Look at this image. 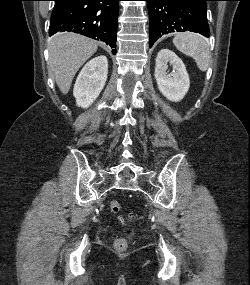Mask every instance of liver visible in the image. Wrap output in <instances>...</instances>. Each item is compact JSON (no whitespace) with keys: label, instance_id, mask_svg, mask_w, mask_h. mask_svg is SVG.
Instances as JSON below:
<instances>
[{"label":"liver","instance_id":"6515ba94","mask_svg":"<svg viewBox=\"0 0 250 285\" xmlns=\"http://www.w3.org/2000/svg\"><path fill=\"white\" fill-rule=\"evenodd\" d=\"M96 41L75 33H58L49 43V67L63 94L79 68L97 51Z\"/></svg>","mask_w":250,"mask_h":285}]
</instances>
